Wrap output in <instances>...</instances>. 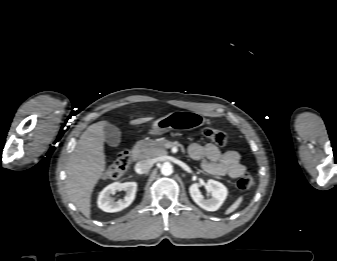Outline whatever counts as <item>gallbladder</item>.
<instances>
[{
	"mask_svg": "<svg viewBox=\"0 0 337 261\" xmlns=\"http://www.w3.org/2000/svg\"><path fill=\"white\" fill-rule=\"evenodd\" d=\"M104 134L105 140L109 146L117 147L120 144L121 132L116 126L111 124L105 125Z\"/></svg>",
	"mask_w": 337,
	"mask_h": 261,
	"instance_id": "1",
	"label": "gallbladder"
}]
</instances>
